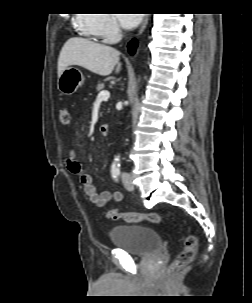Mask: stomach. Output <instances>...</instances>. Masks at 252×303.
<instances>
[{
	"label": "stomach",
	"mask_w": 252,
	"mask_h": 303,
	"mask_svg": "<svg viewBox=\"0 0 252 303\" xmlns=\"http://www.w3.org/2000/svg\"><path fill=\"white\" fill-rule=\"evenodd\" d=\"M84 82L82 72L74 67H67L57 80V89L64 95H72Z\"/></svg>",
	"instance_id": "obj_1"
}]
</instances>
